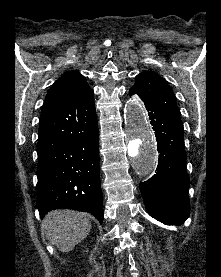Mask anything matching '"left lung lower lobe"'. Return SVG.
<instances>
[{
    "mask_svg": "<svg viewBox=\"0 0 221 277\" xmlns=\"http://www.w3.org/2000/svg\"><path fill=\"white\" fill-rule=\"evenodd\" d=\"M129 94H137L144 102L160 153L156 174L140 183L147 212L164 224H181L190 215L183 125L134 88Z\"/></svg>",
    "mask_w": 221,
    "mask_h": 277,
    "instance_id": "0a47b994",
    "label": "left lung lower lobe"
}]
</instances>
